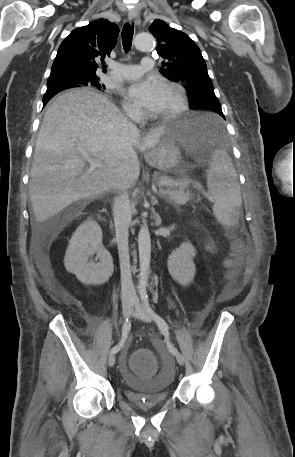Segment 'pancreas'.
Returning <instances> with one entry per match:
<instances>
[{
	"instance_id": "pancreas-1",
	"label": "pancreas",
	"mask_w": 295,
	"mask_h": 457,
	"mask_svg": "<svg viewBox=\"0 0 295 457\" xmlns=\"http://www.w3.org/2000/svg\"><path fill=\"white\" fill-rule=\"evenodd\" d=\"M163 179L165 178H161L160 181ZM189 185L190 182H186L180 185L167 186L166 189L161 188L159 194L169 202H173L174 204H184L188 202L192 197V193L189 190Z\"/></svg>"
}]
</instances>
